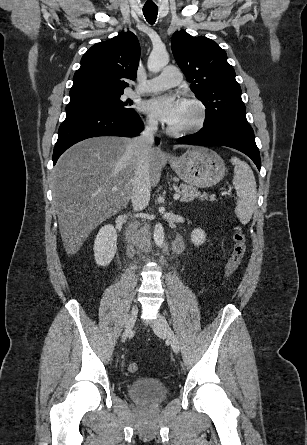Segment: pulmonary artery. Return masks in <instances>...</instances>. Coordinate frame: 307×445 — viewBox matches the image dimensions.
Instances as JSON below:
<instances>
[{"label":"pulmonary artery","instance_id":"1","mask_svg":"<svg viewBox=\"0 0 307 445\" xmlns=\"http://www.w3.org/2000/svg\"><path fill=\"white\" fill-rule=\"evenodd\" d=\"M182 72L177 67L169 66L165 68L158 76L153 77L149 80V85L147 82L142 81L139 84L140 89L145 90L147 92H155L161 90L163 88L172 86L176 83H181L182 81ZM137 92V90H134Z\"/></svg>","mask_w":307,"mask_h":445}]
</instances>
